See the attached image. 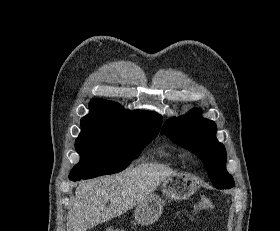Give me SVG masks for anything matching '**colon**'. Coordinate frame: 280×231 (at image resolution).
I'll return each mask as SVG.
<instances>
[{
	"label": "colon",
	"instance_id": "5ec220e1",
	"mask_svg": "<svg viewBox=\"0 0 280 231\" xmlns=\"http://www.w3.org/2000/svg\"><path fill=\"white\" fill-rule=\"evenodd\" d=\"M199 205L204 209H211L213 207L212 201L206 196L200 198Z\"/></svg>",
	"mask_w": 280,
	"mask_h": 231
}]
</instances>
